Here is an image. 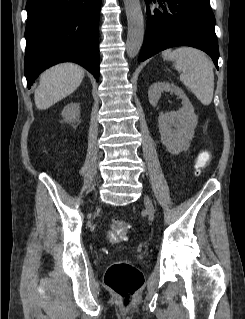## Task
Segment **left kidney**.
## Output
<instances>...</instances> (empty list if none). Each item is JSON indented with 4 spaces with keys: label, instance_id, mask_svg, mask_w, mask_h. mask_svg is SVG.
I'll list each match as a JSON object with an SVG mask.
<instances>
[{
    "label": "left kidney",
    "instance_id": "1",
    "mask_svg": "<svg viewBox=\"0 0 245 319\" xmlns=\"http://www.w3.org/2000/svg\"><path fill=\"white\" fill-rule=\"evenodd\" d=\"M164 91L174 93L182 99L183 107L181 109L173 112H161L158 117L162 143L170 153L179 154L189 148L198 124V117L183 90L173 83L165 81L153 83L149 87L148 98L153 107L157 106Z\"/></svg>",
    "mask_w": 245,
    "mask_h": 319
}]
</instances>
